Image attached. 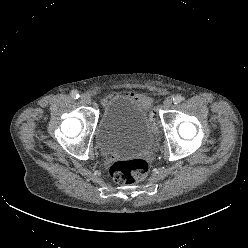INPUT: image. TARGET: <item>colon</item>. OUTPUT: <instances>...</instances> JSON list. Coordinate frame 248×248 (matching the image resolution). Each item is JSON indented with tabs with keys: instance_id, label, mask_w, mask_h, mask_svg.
<instances>
[{
	"instance_id": "1",
	"label": "colon",
	"mask_w": 248,
	"mask_h": 248,
	"mask_svg": "<svg viewBox=\"0 0 248 248\" xmlns=\"http://www.w3.org/2000/svg\"><path fill=\"white\" fill-rule=\"evenodd\" d=\"M109 172L112 179L120 185L134 184L147 176L149 163L141 158L116 161Z\"/></svg>"
}]
</instances>
